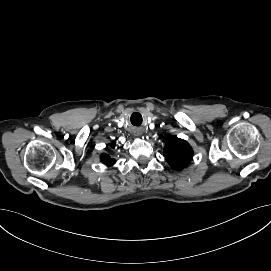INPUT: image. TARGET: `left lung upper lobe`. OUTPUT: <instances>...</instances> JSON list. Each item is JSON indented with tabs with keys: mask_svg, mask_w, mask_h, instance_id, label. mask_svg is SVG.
I'll use <instances>...</instances> for the list:
<instances>
[{
	"mask_svg": "<svg viewBox=\"0 0 271 271\" xmlns=\"http://www.w3.org/2000/svg\"><path fill=\"white\" fill-rule=\"evenodd\" d=\"M164 157L171 168L182 170L191 162L193 150L187 141L171 136L166 141Z\"/></svg>",
	"mask_w": 271,
	"mask_h": 271,
	"instance_id": "5c2ea615",
	"label": "left lung upper lobe"
}]
</instances>
